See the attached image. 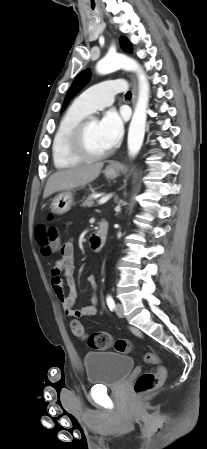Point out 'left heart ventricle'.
Instances as JSON below:
<instances>
[{
	"instance_id": "obj_1",
	"label": "left heart ventricle",
	"mask_w": 207,
	"mask_h": 449,
	"mask_svg": "<svg viewBox=\"0 0 207 449\" xmlns=\"http://www.w3.org/2000/svg\"><path fill=\"white\" fill-rule=\"evenodd\" d=\"M85 142L87 148L95 153L102 152L110 148L100 131L99 123L97 121H93L88 126L85 135Z\"/></svg>"
}]
</instances>
